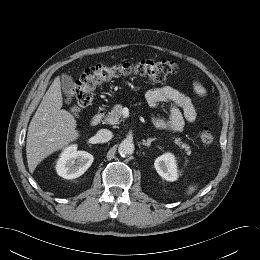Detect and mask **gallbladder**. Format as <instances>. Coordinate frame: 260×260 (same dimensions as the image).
<instances>
[{
	"instance_id": "gallbladder-1",
	"label": "gallbladder",
	"mask_w": 260,
	"mask_h": 260,
	"mask_svg": "<svg viewBox=\"0 0 260 260\" xmlns=\"http://www.w3.org/2000/svg\"><path fill=\"white\" fill-rule=\"evenodd\" d=\"M61 86L64 95L67 97L68 101L72 100L73 97V80L68 74L63 73L61 76Z\"/></svg>"
}]
</instances>
